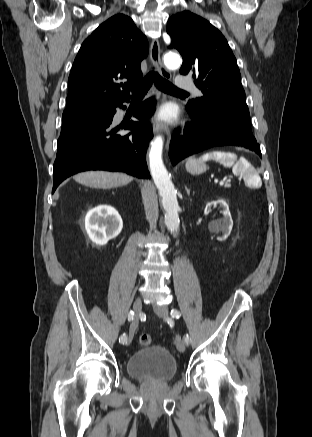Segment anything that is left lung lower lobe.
<instances>
[{"label": "left lung lower lobe", "mask_w": 312, "mask_h": 437, "mask_svg": "<svg viewBox=\"0 0 312 437\" xmlns=\"http://www.w3.org/2000/svg\"><path fill=\"white\" fill-rule=\"evenodd\" d=\"M194 122L185 127L187 133L174 134L170 143L169 156L173 165L180 160L214 146L235 145L256 152L260 157V146L256 139L249 138L235 129L226 120L188 110Z\"/></svg>", "instance_id": "0a47b994"}]
</instances>
